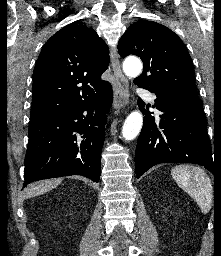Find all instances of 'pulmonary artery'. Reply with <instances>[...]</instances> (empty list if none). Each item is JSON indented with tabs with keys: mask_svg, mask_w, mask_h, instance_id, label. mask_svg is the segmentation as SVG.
<instances>
[{
	"mask_svg": "<svg viewBox=\"0 0 221 256\" xmlns=\"http://www.w3.org/2000/svg\"><path fill=\"white\" fill-rule=\"evenodd\" d=\"M138 92H139L140 95L146 97L149 101L154 103L155 98L151 93H149L148 91H146L144 89H139Z\"/></svg>",
	"mask_w": 221,
	"mask_h": 256,
	"instance_id": "pulmonary-artery-1",
	"label": "pulmonary artery"
}]
</instances>
